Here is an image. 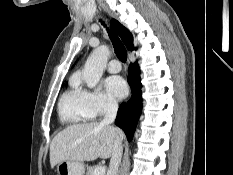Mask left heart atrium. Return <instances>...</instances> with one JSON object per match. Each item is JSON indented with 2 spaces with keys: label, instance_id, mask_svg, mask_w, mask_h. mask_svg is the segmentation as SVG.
Returning a JSON list of instances; mask_svg holds the SVG:
<instances>
[{
  "label": "left heart atrium",
  "instance_id": "39dd6f15",
  "mask_svg": "<svg viewBox=\"0 0 233 175\" xmlns=\"http://www.w3.org/2000/svg\"><path fill=\"white\" fill-rule=\"evenodd\" d=\"M107 90L115 97L122 99L127 96L128 88L125 81L118 76L109 77L105 81Z\"/></svg>",
  "mask_w": 233,
  "mask_h": 175
}]
</instances>
